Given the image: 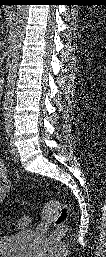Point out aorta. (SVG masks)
<instances>
[{
	"mask_svg": "<svg viewBox=\"0 0 106 257\" xmlns=\"http://www.w3.org/2000/svg\"><path fill=\"white\" fill-rule=\"evenodd\" d=\"M27 6H17V28L11 34V46L9 49V72L7 77V92L5 95V111L6 117L9 118L13 104V91L15 86L16 72H17V61L19 58L20 50V39L22 34L19 32V28L25 23L27 18Z\"/></svg>",
	"mask_w": 106,
	"mask_h": 257,
	"instance_id": "obj_1",
	"label": "aorta"
}]
</instances>
